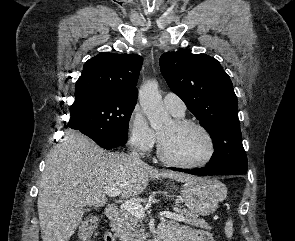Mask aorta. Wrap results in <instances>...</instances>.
<instances>
[{"mask_svg":"<svg viewBox=\"0 0 295 241\" xmlns=\"http://www.w3.org/2000/svg\"><path fill=\"white\" fill-rule=\"evenodd\" d=\"M139 102L153 129L158 130L171 123L172 119L163 106L156 80H149L140 87Z\"/></svg>","mask_w":295,"mask_h":241,"instance_id":"obj_1","label":"aorta"}]
</instances>
